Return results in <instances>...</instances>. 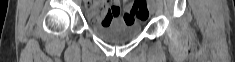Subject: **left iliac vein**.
Returning a JSON list of instances; mask_svg holds the SVG:
<instances>
[{
    "label": "left iliac vein",
    "mask_w": 235,
    "mask_h": 62,
    "mask_svg": "<svg viewBox=\"0 0 235 62\" xmlns=\"http://www.w3.org/2000/svg\"><path fill=\"white\" fill-rule=\"evenodd\" d=\"M155 10H156L155 4L151 3V4L149 5V12H150L151 14H154V13H155Z\"/></svg>",
    "instance_id": "obj_1"
}]
</instances>
